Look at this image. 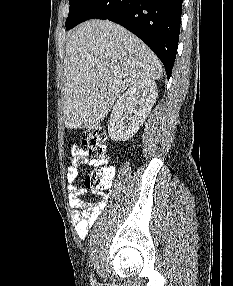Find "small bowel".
Segmentation results:
<instances>
[{
  "instance_id": "small-bowel-1",
  "label": "small bowel",
  "mask_w": 233,
  "mask_h": 286,
  "mask_svg": "<svg viewBox=\"0 0 233 286\" xmlns=\"http://www.w3.org/2000/svg\"><path fill=\"white\" fill-rule=\"evenodd\" d=\"M71 165L67 169V181L69 192V205L72 209L71 218L75 225V230L79 238L84 239L88 233V229L97 220L106 206L107 195H103V199L98 202H85L83 196L86 189L78 183L79 168L84 166H98L102 163L90 159L87 153L77 145L71 149ZM110 169L115 172L114 167ZM95 193H97L95 191ZM100 193V192H98Z\"/></svg>"
}]
</instances>
